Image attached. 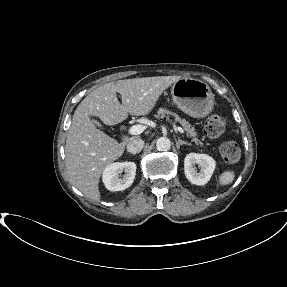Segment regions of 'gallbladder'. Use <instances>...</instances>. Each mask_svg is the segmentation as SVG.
I'll return each instance as SVG.
<instances>
[{"mask_svg":"<svg viewBox=\"0 0 287 287\" xmlns=\"http://www.w3.org/2000/svg\"><path fill=\"white\" fill-rule=\"evenodd\" d=\"M92 122H93L96 126L102 127L101 124H100L99 122H97L96 120L92 119Z\"/></svg>","mask_w":287,"mask_h":287,"instance_id":"bac80fb5","label":"gallbladder"}]
</instances>
